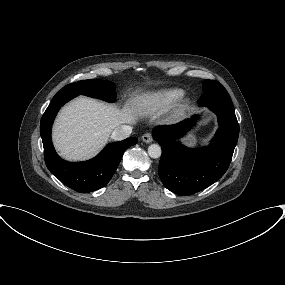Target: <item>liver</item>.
Listing matches in <instances>:
<instances>
[{
	"mask_svg": "<svg viewBox=\"0 0 285 285\" xmlns=\"http://www.w3.org/2000/svg\"><path fill=\"white\" fill-rule=\"evenodd\" d=\"M141 99L122 109L88 97H78L62 108L53 128V141L60 155L78 161L94 156L107 143L113 129L135 123Z\"/></svg>",
	"mask_w": 285,
	"mask_h": 285,
	"instance_id": "6515ba94",
	"label": "liver"
}]
</instances>
